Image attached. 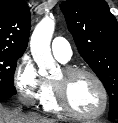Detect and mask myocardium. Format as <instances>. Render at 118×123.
Returning a JSON list of instances; mask_svg holds the SVG:
<instances>
[{
    "label": "myocardium",
    "mask_w": 118,
    "mask_h": 123,
    "mask_svg": "<svg viewBox=\"0 0 118 123\" xmlns=\"http://www.w3.org/2000/svg\"><path fill=\"white\" fill-rule=\"evenodd\" d=\"M62 72L66 80H69L79 75H87L90 78H92L100 89L102 95V106L101 109L95 114H91V115L81 114L76 110H74L69 104L66 97L65 85L63 83L51 82L54 98L60 110L65 112L69 116L79 120L89 121V120H96L101 118L107 112L108 104H109V95H108L107 88L103 83V81L100 79V77L97 74H95L93 71L80 67L66 66L62 69Z\"/></svg>",
    "instance_id": "f54148a6"
}]
</instances>
